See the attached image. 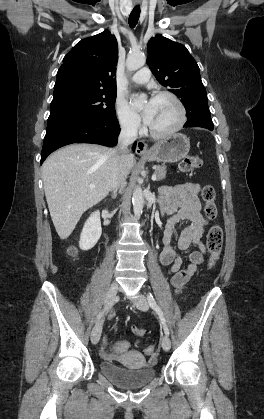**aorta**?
I'll use <instances>...</instances> for the list:
<instances>
[{
  "label": "aorta",
  "mask_w": 264,
  "mask_h": 419,
  "mask_svg": "<svg viewBox=\"0 0 264 419\" xmlns=\"http://www.w3.org/2000/svg\"><path fill=\"white\" fill-rule=\"evenodd\" d=\"M146 62V57L144 53H131L128 55L126 60V68L128 71H136L137 69L144 66ZM146 99V95L135 96L131 99L132 103L135 106H141ZM133 202V211L134 215L139 218L142 214L143 206H144V198L142 188L137 186L133 191L132 196Z\"/></svg>",
  "instance_id": "1"
}]
</instances>
